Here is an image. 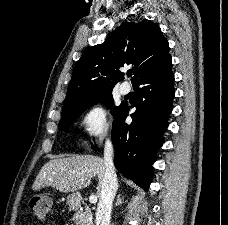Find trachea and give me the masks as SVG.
Returning <instances> with one entry per match:
<instances>
[{"label":"trachea","mask_w":228,"mask_h":225,"mask_svg":"<svg viewBox=\"0 0 228 225\" xmlns=\"http://www.w3.org/2000/svg\"><path fill=\"white\" fill-rule=\"evenodd\" d=\"M127 75H128V77H131V76H132V71H129V72L127 73Z\"/></svg>","instance_id":"obj_1"}]
</instances>
